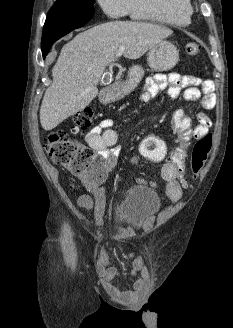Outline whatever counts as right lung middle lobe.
<instances>
[{"instance_id":"right-lung-middle-lobe-1","label":"right lung middle lobe","mask_w":233,"mask_h":328,"mask_svg":"<svg viewBox=\"0 0 233 328\" xmlns=\"http://www.w3.org/2000/svg\"><path fill=\"white\" fill-rule=\"evenodd\" d=\"M95 0H57L49 11L48 16L53 15H93Z\"/></svg>"}]
</instances>
